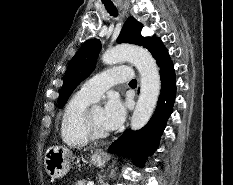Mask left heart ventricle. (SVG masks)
Masks as SVG:
<instances>
[{
    "mask_svg": "<svg viewBox=\"0 0 233 185\" xmlns=\"http://www.w3.org/2000/svg\"><path fill=\"white\" fill-rule=\"evenodd\" d=\"M91 118H92V122L96 130L101 131V132H107L106 128L103 125L102 108L100 106H95L92 109Z\"/></svg>",
    "mask_w": 233,
    "mask_h": 185,
    "instance_id": "obj_1",
    "label": "left heart ventricle"
}]
</instances>
